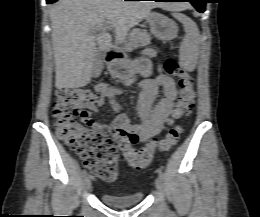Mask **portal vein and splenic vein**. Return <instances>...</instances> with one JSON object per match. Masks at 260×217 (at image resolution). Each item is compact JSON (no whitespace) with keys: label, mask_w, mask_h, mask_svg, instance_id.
Here are the masks:
<instances>
[{"label":"portal vein and splenic vein","mask_w":260,"mask_h":217,"mask_svg":"<svg viewBox=\"0 0 260 217\" xmlns=\"http://www.w3.org/2000/svg\"><path fill=\"white\" fill-rule=\"evenodd\" d=\"M113 24L107 23L105 25L99 26V27H95L92 29V32L95 33L97 31H105L107 29H112L113 28Z\"/></svg>","instance_id":"portal-vein-and-splenic-vein-1"}]
</instances>
